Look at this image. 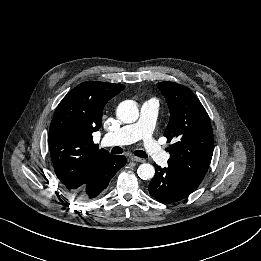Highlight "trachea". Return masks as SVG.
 Listing matches in <instances>:
<instances>
[{"label":"trachea","instance_id":"obj_1","mask_svg":"<svg viewBox=\"0 0 261 261\" xmlns=\"http://www.w3.org/2000/svg\"><path fill=\"white\" fill-rule=\"evenodd\" d=\"M122 152H123L122 148H120V147H118V146L114 147V148L111 150V153H112V154H121ZM134 154H135L136 156L140 157V158H147V157H148V155H147L144 151H142V150H136V151L134 152Z\"/></svg>","mask_w":261,"mask_h":261}]
</instances>
